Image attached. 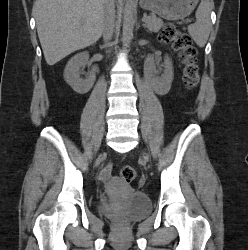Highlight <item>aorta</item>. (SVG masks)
Wrapping results in <instances>:
<instances>
[{"mask_svg":"<svg viewBox=\"0 0 248 250\" xmlns=\"http://www.w3.org/2000/svg\"><path fill=\"white\" fill-rule=\"evenodd\" d=\"M134 12H135L134 0H127L124 10L123 32H122V42L125 48L129 47L130 41L133 36V28L135 23Z\"/></svg>","mask_w":248,"mask_h":250,"instance_id":"aorta-1","label":"aorta"}]
</instances>
